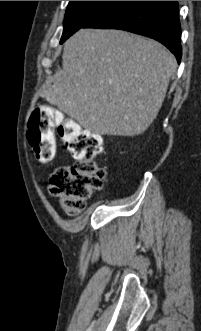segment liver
I'll list each match as a JSON object with an SVG mask.
<instances>
[{"instance_id":"obj_1","label":"liver","mask_w":201,"mask_h":331,"mask_svg":"<svg viewBox=\"0 0 201 331\" xmlns=\"http://www.w3.org/2000/svg\"><path fill=\"white\" fill-rule=\"evenodd\" d=\"M62 60L45 99L101 135L147 130L177 68L162 44L122 30L80 29L65 42Z\"/></svg>"}]
</instances>
